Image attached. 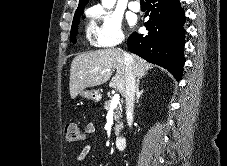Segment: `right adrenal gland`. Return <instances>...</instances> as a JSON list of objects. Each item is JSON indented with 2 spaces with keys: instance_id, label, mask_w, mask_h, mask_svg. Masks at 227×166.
<instances>
[{
  "instance_id": "1",
  "label": "right adrenal gland",
  "mask_w": 227,
  "mask_h": 166,
  "mask_svg": "<svg viewBox=\"0 0 227 166\" xmlns=\"http://www.w3.org/2000/svg\"><path fill=\"white\" fill-rule=\"evenodd\" d=\"M139 84H140V79H137V84H136V103L139 102V98L141 94L143 93V90H139Z\"/></svg>"
}]
</instances>
